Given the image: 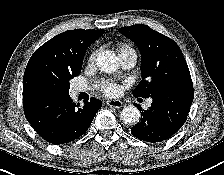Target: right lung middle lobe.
Returning a JSON list of instances; mask_svg holds the SVG:
<instances>
[{
    "label": "right lung middle lobe",
    "mask_w": 224,
    "mask_h": 175,
    "mask_svg": "<svg viewBox=\"0 0 224 175\" xmlns=\"http://www.w3.org/2000/svg\"><path fill=\"white\" fill-rule=\"evenodd\" d=\"M81 68L75 71L49 72L39 81V92H67L69 93V81L80 74Z\"/></svg>",
    "instance_id": "dd1d6c3e"
}]
</instances>
